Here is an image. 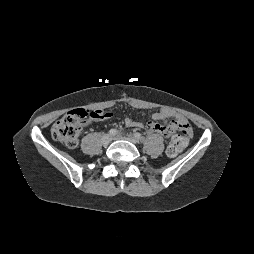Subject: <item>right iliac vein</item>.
<instances>
[{
	"mask_svg": "<svg viewBox=\"0 0 254 254\" xmlns=\"http://www.w3.org/2000/svg\"><path fill=\"white\" fill-rule=\"evenodd\" d=\"M112 141V136L109 134H106L102 137V144L108 145Z\"/></svg>",
	"mask_w": 254,
	"mask_h": 254,
	"instance_id": "obj_1",
	"label": "right iliac vein"
}]
</instances>
